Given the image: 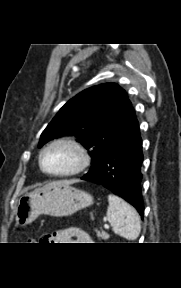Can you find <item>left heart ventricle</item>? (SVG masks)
Masks as SVG:
<instances>
[{"label":"left heart ventricle","instance_id":"1","mask_svg":"<svg viewBox=\"0 0 181 288\" xmlns=\"http://www.w3.org/2000/svg\"><path fill=\"white\" fill-rule=\"evenodd\" d=\"M77 164V155L69 147L55 146L44 155V166L50 172L61 173L69 171Z\"/></svg>","mask_w":181,"mask_h":288}]
</instances>
